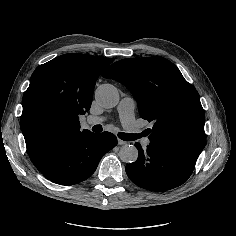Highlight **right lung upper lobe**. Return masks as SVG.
Returning <instances> with one entry per match:
<instances>
[{
	"label": "right lung upper lobe",
	"instance_id": "1",
	"mask_svg": "<svg viewBox=\"0 0 236 236\" xmlns=\"http://www.w3.org/2000/svg\"><path fill=\"white\" fill-rule=\"evenodd\" d=\"M114 59L70 53L36 68L22 100L21 130L28 154L43 171L80 130L97 78Z\"/></svg>",
	"mask_w": 236,
	"mask_h": 236
}]
</instances>
